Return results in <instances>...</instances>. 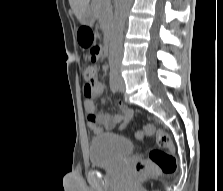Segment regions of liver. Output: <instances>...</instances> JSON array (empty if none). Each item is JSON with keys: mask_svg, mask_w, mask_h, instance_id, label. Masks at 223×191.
<instances>
[{"mask_svg": "<svg viewBox=\"0 0 223 191\" xmlns=\"http://www.w3.org/2000/svg\"><path fill=\"white\" fill-rule=\"evenodd\" d=\"M89 2L90 0H69L70 7L78 20L81 19L82 14L88 8Z\"/></svg>", "mask_w": 223, "mask_h": 191, "instance_id": "6515ba94", "label": "liver"}]
</instances>
